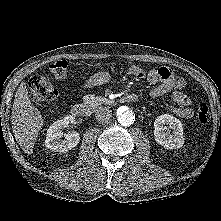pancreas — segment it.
Returning a JSON list of instances; mask_svg holds the SVG:
<instances>
[{
	"label": "pancreas",
	"mask_w": 221,
	"mask_h": 221,
	"mask_svg": "<svg viewBox=\"0 0 221 221\" xmlns=\"http://www.w3.org/2000/svg\"><path fill=\"white\" fill-rule=\"evenodd\" d=\"M98 100H100V98H96V97H93V96H91V97H88L87 99H86V101L87 102H89V103H96V102H98Z\"/></svg>",
	"instance_id": "obj_1"
}]
</instances>
